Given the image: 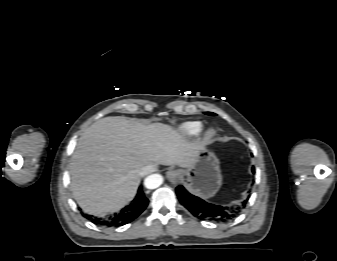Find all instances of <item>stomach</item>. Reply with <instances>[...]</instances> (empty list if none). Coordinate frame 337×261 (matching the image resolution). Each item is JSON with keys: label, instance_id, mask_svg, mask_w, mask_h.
<instances>
[{"label": "stomach", "instance_id": "obj_1", "mask_svg": "<svg viewBox=\"0 0 337 261\" xmlns=\"http://www.w3.org/2000/svg\"><path fill=\"white\" fill-rule=\"evenodd\" d=\"M186 178V187L204 198L214 196L222 185L219 160L216 155L202 146L192 167L180 170Z\"/></svg>", "mask_w": 337, "mask_h": 261}]
</instances>
